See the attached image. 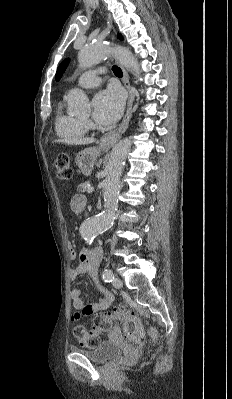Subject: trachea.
I'll return each instance as SVG.
<instances>
[{"instance_id": "1", "label": "trachea", "mask_w": 232, "mask_h": 399, "mask_svg": "<svg viewBox=\"0 0 232 399\" xmlns=\"http://www.w3.org/2000/svg\"><path fill=\"white\" fill-rule=\"evenodd\" d=\"M112 70H113V73L116 75V77H122L123 76L121 68L117 67L116 65H114L112 67Z\"/></svg>"}]
</instances>
